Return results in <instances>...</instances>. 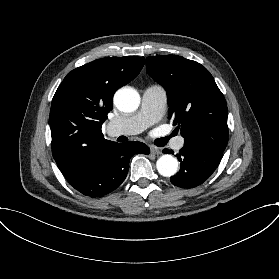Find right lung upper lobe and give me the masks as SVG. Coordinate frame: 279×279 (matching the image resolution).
Segmentation results:
<instances>
[{
    "mask_svg": "<svg viewBox=\"0 0 279 279\" xmlns=\"http://www.w3.org/2000/svg\"><path fill=\"white\" fill-rule=\"evenodd\" d=\"M138 56L94 60L72 70L58 87L51 104L53 157L70 183H76L101 162L108 147L103 122L115 91L133 80L144 66Z\"/></svg>",
    "mask_w": 279,
    "mask_h": 279,
    "instance_id": "cb5924a9",
    "label": "right lung upper lobe"
}]
</instances>
